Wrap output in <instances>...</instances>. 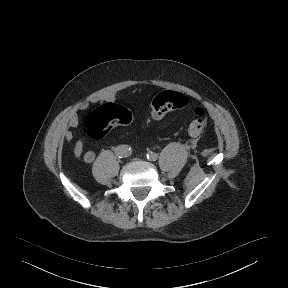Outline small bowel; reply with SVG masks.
<instances>
[{
  "instance_id": "small-bowel-1",
  "label": "small bowel",
  "mask_w": 288,
  "mask_h": 288,
  "mask_svg": "<svg viewBox=\"0 0 288 288\" xmlns=\"http://www.w3.org/2000/svg\"><path fill=\"white\" fill-rule=\"evenodd\" d=\"M83 152V143L81 141L77 142L74 153L76 157H79ZM95 152L93 150H87L83 154L84 161L86 163H92L95 160Z\"/></svg>"
}]
</instances>
